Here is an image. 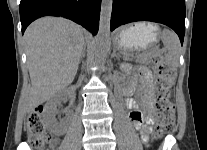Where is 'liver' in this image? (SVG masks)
<instances>
[{
	"label": "liver",
	"mask_w": 207,
	"mask_h": 150,
	"mask_svg": "<svg viewBox=\"0 0 207 150\" xmlns=\"http://www.w3.org/2000/svg\"><path fill=\"white\" fill-rule=\"evenodd\" d=\"M24 40L31 79L27 111L31 112L73 82L84 35L70 20L44 17L27 28Z\"/></svg>",
	"instance_id": "1"
}]
</instances>
